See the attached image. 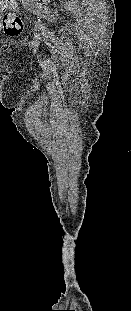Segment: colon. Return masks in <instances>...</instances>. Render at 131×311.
<instances>
[{
    "mask_svg": "<svg viewBox=\"0 0 131 311\" xmlns=\"http://www.w3.org/2000/svg\"><path fill=\"white\" fill-rule=\"evenodd\" d=\"M1 28L8 36H17L23 30V18L20 15L16 0H0V12H4Z\"/></svg>",
    "mask_w": 131,
    "mask_h": 311,
    "instance_id": "1",
    "label": "colon"
}]
</instances>
